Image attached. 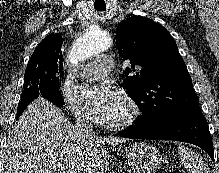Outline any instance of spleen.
Wrapping results in <instances>:
<instances>
[{
  "instance_id": "1",
  "label": "spleen",
  "mask_w": 219,
  "mask_h": 173,
  "mask_svg": "<svg viewBox=\"0 0 219 173\" xmlns=\"http://www.w3.org/2000/svg\"><path fill=\"white\" fill-rule=\"evenodd\" d=\"M178 154L190 173H207V168L198 154L184 146H178Z\"/></svg>"
}]
</instances>
